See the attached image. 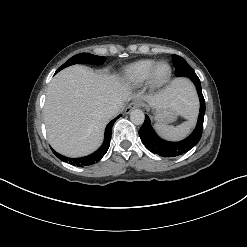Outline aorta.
Returning a JSON list of instances; mask_svg holds the SVG:
<instances>
[{"instance_id": "aorta-1", "label": "aorta", "mask_w": 247, "mask_h": 247, "mask_svg": "<svg viewBox=\"0 0 247 247\" xmlns=\"http://www.w3.org/2000/svg\"><path fill=\"white\" fill-rule=\"evenodd\" d=\"M144 119H145L144 112L140 109H134L130 113V120L136 125L142 124L144 122Z\"/></svg>"}]
</instances>
